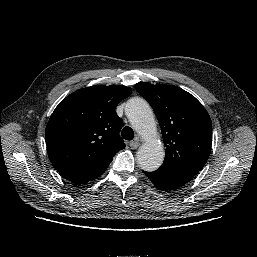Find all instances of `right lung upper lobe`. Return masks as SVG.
Returning <instances> with one entry per match:
<instances>
[{"label":"right lung upper lobe","mask_w":257,"mask_h":257,"mask_svg":"<svg viewBox=\"0 0 257 257\" xmlns=\"http://www.w3.org/2000/svg\"><path fill=\"white\" fill-rule=\"evenodd\" d=\"M131 92L121 85H95L59 103L45 136L50 161L62 177L81 185L105 172L115 153L125 147L119 136L123 122L115 108Z\"/></svg>","instance_id":"cb5924a9"}]
</instances>
